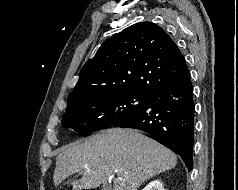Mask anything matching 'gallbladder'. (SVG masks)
Listing matches in <instances>:
<instances>
[{"label":"gallbladder","mask_w":238,"mask_h":190,"mask_svg":"<svg viewBox=\"0 0 238 190\" xmlns=\"http://www.w3.org/2000/svg\"><path fill=\"white\" fill-rule=\"evenodd\" d=\"M101 190H111V186L109 184H104Z\"/></svg>","instance_id":"bac80fb5"}]
</instances>
